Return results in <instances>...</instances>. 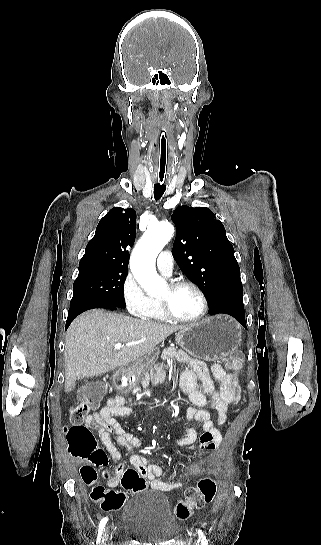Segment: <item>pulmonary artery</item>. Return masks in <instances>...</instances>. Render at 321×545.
<instances>
[{"instance_id": "obj_1", "label": "pulmonary artery", "mask_w": 321, "mask_h": 545, "mask_svg": "<svg viewBox=\"0 0 321 545\" xmlns=\"http://www.w3.org/2000/svg\"><path fill=\"white\" fill-rule=\"evenodd\" d=\"M157 266L159 271L165 276H169L174 266V260L168 251H162L157 256Z\"/></svg>"}]
</instances>
